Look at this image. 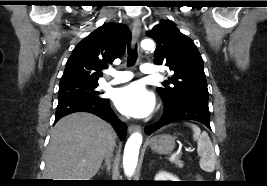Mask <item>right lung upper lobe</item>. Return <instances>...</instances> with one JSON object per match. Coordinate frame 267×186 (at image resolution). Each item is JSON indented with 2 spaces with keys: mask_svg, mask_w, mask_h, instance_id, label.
I'll return each mask as SVG.
<instances>
[{
  "mask_svg": "<svg viewBox=\"0 0 267 186\" xmlns=\"http://www.w3.org/2000/svg\"><path fill=\"white\" fill-rule=\"evenodd\" d=\"M130 32L126 25L105 23L84 38L67 60L60 85L98 83L102 70L125 52Z\"/></svg>",
  "mask_w": 267,
  "mask_h": 186,
  "instance_id": "obj_1",
  "label": "right lung upper lobe"
}]
</instances>
